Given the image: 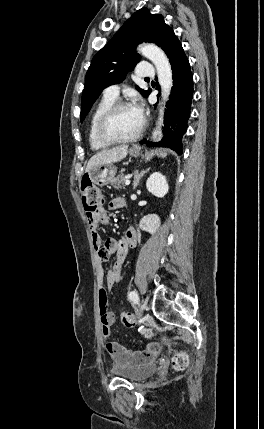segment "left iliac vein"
<instances>
[{"label":"left iliac vein","mask_w":264,"mask_h":429,"mask_svg":"<svg viewBox=\"0 0 264 429\" xmlns=\"http://www.w3.org/2000/svg\"><path fill=\"white\" fill-rule=\"evenodd\" d=\"M143 311H144L143 306H139V314H142V313H143Z\"/></svg>","instance_id":"obj_1"}]
</instances>
